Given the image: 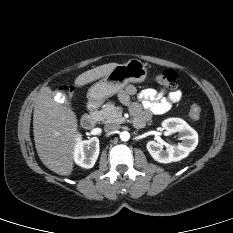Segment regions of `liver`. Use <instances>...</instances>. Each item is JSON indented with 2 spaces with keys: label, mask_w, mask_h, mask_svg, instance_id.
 Masks as SVG:
<instances>
[{
  "label": "liver",
  "mask_w": 233,
  "mask_h": 233,
  "mask_svg": "<svg viewBox=\"0 0 233 233\" xmlns=\"http://www.w3.org/2000/svg\"><path fill=\"white\" fill-rule=\"evenodd\" d=\"M116 65L108 63L85 71L75 79V85L81 87L104 77ZM33 132L42 163L59 175H71L78 135L77 117L68 105L53 99L50 87H42L35 99Z\"/></svg>",
  "instance_id": "1"
}]
</instances>
